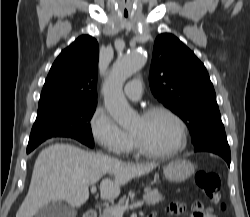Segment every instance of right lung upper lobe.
Wrapping results in <instances>:
<instances>
[{"instance_id": "1", "label": "right lung upper lobe", "mask_w": 250, "mask_h": 217, "mask_svg": "<svg viewBox=\"0 0 250 217\" xmlns=\"http://www.w3.org/2000/svg\"><path fill=\"white\" fill-rule=\"evenodd\" d=\"M97 41L83 35L64 49L53 63L39 100L38 113L97 102Z\"/></svg>"}]
</instances>
